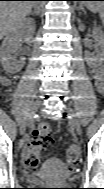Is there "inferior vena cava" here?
I'll return each mask as SVG.
<instances>
[{"label":"inferior vena cava","instance_id":"1","mask_svg":"<svg viewBox=\"0 0 104 189\" xmlns=\"http://www.w3.org/2000/svg\"><path fill=\"white\" fill-rule=\"evenodd\" d=\"M41 5H42L41 2H36L35 8H37V10H39L38 8H39V6H41Z\"/></svg>","mask_w":104,"mask_h":189}]
</instances>
